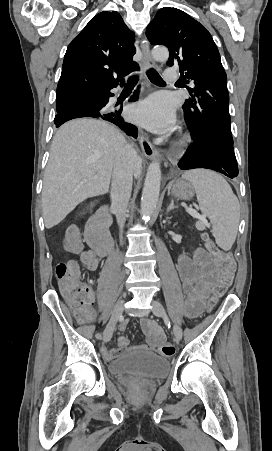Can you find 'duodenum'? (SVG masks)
<instances>
[{
    "instance_id": "410a0bca",
    "label": "duodenum",
    "mask_w": 272,
    "mask_h": 451,
    "mask_svg": "<svg viewBox=\"0 0 272 451\" xmlns=\"http://www.w3.org/2000/svg\"><path fill=\"white\" fill-rule=\"evenodd\" d=\"M110 223L107 208L102 207L86 227V242L101 257L108 256L113 248V238L109 231Z\"/></svg>"
}]
</instances>
